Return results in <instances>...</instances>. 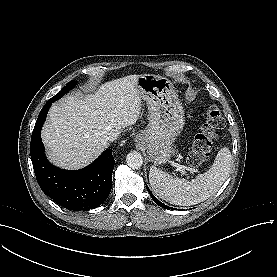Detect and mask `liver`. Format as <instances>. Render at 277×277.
Here are the masks:
<instances>
[{
  "mask_svg": "<svg viewBox=\"0 0 277 277\" xmlns=\"http://www.w3.org/2000/svg\"><path fill=\"white\" fill-rule=\"evenodd\" d=\"M140 75L102 84L93 94H71L52 105L42 128L49 160L66 169L94 161L108 146L110 133L122 132L139 119Z\"/></svg>",
  "mask_w": 277,
  "mask_h": 277,
  "instance_id": "1",
  "label": "liver"
}]
</instances>
